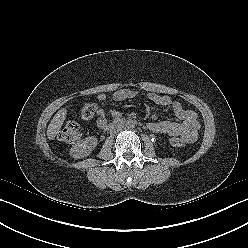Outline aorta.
Masks as SVG:
<instances>
[{"label":"aorta","instance_id":"762f6f07","mask_svg":"<svg viewBox=\"0 0 248 248\" xmlns=\"http://www.w3.org/2000/svg\"><path fill=\"white\" fill-rule=\"evenodd\" d=\"M135 125H136V121L133 120V119H128L126 122H125V127L127 129H133L135 128Z\"/></svg>","mask_w":248,"mask_h":248}]
</instances>
